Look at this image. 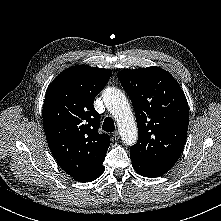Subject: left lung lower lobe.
<instances>
[{"instance_id": "obj_1", "label": "left lung lower lobe", "mask_w": 221, "mask_h": 221, "mask_svg": "<svg viewBox=\"0 0 221 221\" xmlns=\"http://www.w3.org/2000/svg\"><path fill=\"white\" fill-rule=\"evenodd\" d=\"M134 170L145 177H159L168 172L172 167L150 165L131 158Z\"/></svg>"}]
</instances>
